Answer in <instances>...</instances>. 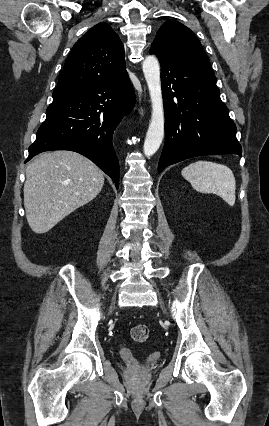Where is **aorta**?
Instances as JSON below:
<instances>
[{"mask_svg": "<svg viewBox=\"0 0 269 426\" xmlns=\"http://www.w3.org/2000/svg\"><path fill=\"white\" fill-rule=\"evenodd\" d=\"M142 68L152 104L151 120L143 145L144 154L150 157L159 149L164 137V109L158 59L153 55L147 56Z\"/></svg>", "mask_w": 269, "mask_h": 426, "instance_id": "obj_1", "label": "aorta"}]
</instances>
